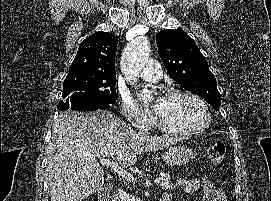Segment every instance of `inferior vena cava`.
<instances>
[{
	"label": "inferior vena cava",
	"instance_id": "1",
	"mask_svg": "<svg viewBox=\"0 0 271 201\" xmlns=\"http://www.w3.org/2000/svg\"><path fill=\"white\" fill-rule=\"evenodd\" d=\"M112 201H130V197L123 189L118 188L113 194Z\"/></svg>",
	"mask_w": 271,
	"mask_h": 201
}]
</instances>
